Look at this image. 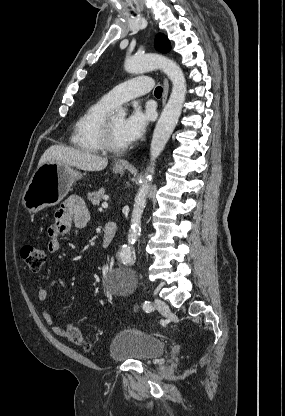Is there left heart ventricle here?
<instances>
[{
  "mask_svg": "<svg viewBox=\"0 0 285 416\" xmlns=\"http://www.w3.org/2000/svg\"><path fill=\"white\" fill-rule=\"evenodd\" d=\"M123 120V117L117 115L110 116L109 118L110 139L112 144L117 147L126 146L121 136Z\"/></svg>",
  "mask_w": 285,
  "mask_h": 416,
  "instance_id": "obj_1",
  "label": "left heart ventricle"
}]
</instances>
